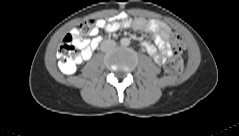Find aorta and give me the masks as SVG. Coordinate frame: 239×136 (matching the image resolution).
Returning <instances> with one entry per match:
<instances>
[{"label":"aorta","mask_w":239,"mask_h":136,"mask_svg":"<svg viewBox=\"0 0 239 136\" xmlns=\"http://www.w3.org/2000/svg\"><path fill=\"white\" fill-rule=\"evenodd\" d=\"M120 42L123 46H128L130 44V40L128 38H122Z\"/></svg>","instance_id":"obj_1"}]
</instances>
